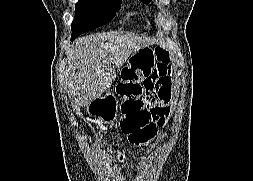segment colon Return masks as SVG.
<instances>
[{"mask_svg": "<svg viewBox=\"0 0 253 181\" xmlns=\"http://www.w3.org/2000/svg\"><path fill=\"white\" fill-rule=\"evenodd\" d=\"M130 66L122 72V81L116 92L122 100L121 129L134 145H143L155 139L165 116L158 96H149L144 89L143 79L150 60L163 64L167 53L160 48H140Z\"/></svg>", "mask_w": 253, "mask_h": 181, "instance_id": "1", "label": "colon"}]
</instances>
